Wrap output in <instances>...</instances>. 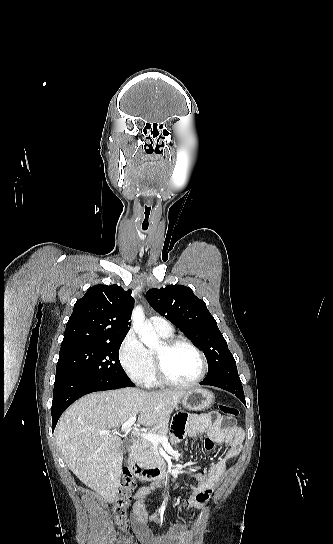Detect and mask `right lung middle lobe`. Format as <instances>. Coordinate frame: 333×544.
<instances>
[{"label": "right lung middle lobe", "mask_w": 333, "mask_h": 544, "mask_svg": "<svg viewBox=\"0 0 333 544\" xmlns=\"http://www.w3.org/2000/svg\"><path fill=\"white\" fill-rule=\"evenodd\" d=\"M123 338L61 348L56 375L72 374L89 380L132 383L119 361Z\"/></svg>", "instance_id": "1"}]
</instances>
